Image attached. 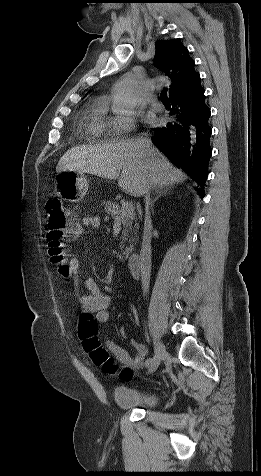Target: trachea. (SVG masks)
Segmentation results:
<instances>
[{"mask_svg":"<svg viewBox=\"0 0 261 476\" xmlns=\"http://www.w3.org/2000/svg\"><path fill=\"white\" fill-rule=\"evenodd\" d=\"M160 98L163 102H168L169 99H168V96H167V89H164L161 94H160Z\"/></svg>","mask_w":261,"mask_h":476,"instance_id":"obj_1","label":"trachea"}]
</instances>
